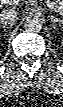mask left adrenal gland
I'll use <instances>...</instances> for the list:
<instances>
[{
  "label": "left adrenal gland",
  "mask_w": 63,
  "mask_h": 107,
  "mask_svg": "<svg viewBox=\"0 0 63 107\" xmlns=\"http://www.w3.org/2000/svg\"><path fill=\"white\" fill-rule=\"evenodd\" d=\"M49 18L50 20L53 22V24L57 23V22H62V20L54 15L49 14Z\"/></svg>",
  "instance_id": "left-adrenal-gland-1"
}]
</instances>
